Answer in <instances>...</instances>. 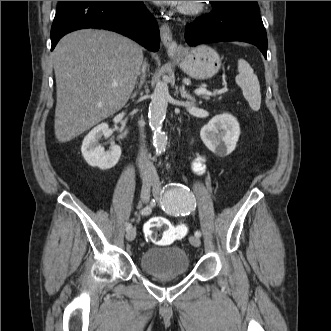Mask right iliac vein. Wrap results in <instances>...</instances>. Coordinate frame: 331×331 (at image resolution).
<instances>
[{
  "instance_id": "63e3f726",
  "label": "right iliac vein",
  "mask_w": 331,
  "mask_h": 331,
  "mask_svg": "<svg viewBox=\"0 0 331 331\" xmlns=\"http://www.w3.org/2000/svg\"><path fill=\"white\" fill-rule=\"evenodd\" d=\"M152 186V182L150 180H144L141 188L140 197L143 202H147L150 196V189ZM136 237V229L131 228L126 233V239L128 241H133Z\"/></svg>"
}]
</instances>
